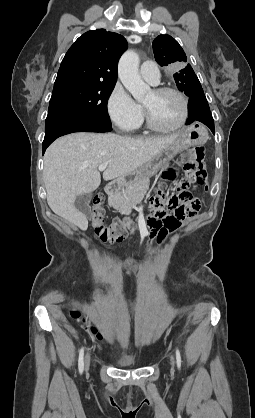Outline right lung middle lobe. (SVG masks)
<instances>
[{
  "mask_svg": "<svg viewBox=\"0 0 255 418\" xmlns=\"http://www.w3.org/2000/svg\"><path fill=\"white\" fill-rule=\"evenodd\" d=\"M115 84L70 81L54 85L49 113L70 112L111 125L107 102Z\"/></svg>",
  "mask_w": 255,
  "mask_h": 418,
  "instance_id": "right-lung-middle-lobe-1",
  "label": "right lung middle lobe"
}]
</instances>
